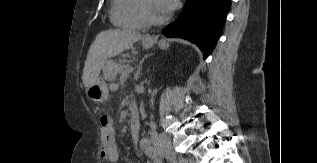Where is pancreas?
Wrapping results in <instances>:
<instances>
[{
	"label": "pancreas",
	"instance_id": "1",
	"mask_svg": "<svg viewBox=\"0 0 317 163\" xmlns=\"http://www.w3.org/2000/svg\"><path fill=\"white\" fill-rule=\"evenodd\" d=\"M128 68V66L121 65L113 60H109L106 62V65L103 68L104 79L111 82L112 80L116 79L119 73L125 71Z\"/></svg>",
	"mask_w": 317,
	"mask_h": 163
}]
</instances>
